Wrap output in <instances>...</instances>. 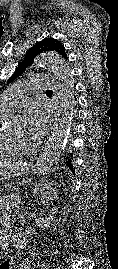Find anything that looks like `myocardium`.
<instances>
[{"label":"myocardium","instance_id":"myocardium-1","mask_svg":"<svg viewBox=\"0 0 118 269\" xmlns=\"http://www.w3.org/2000/svg\"><path fill=\"white\" fill-rule=\"evenodd\" d=\"M16 139L19 141V143H22V139L20 135H15ZM26 148V147H23Z\"/></svg>","mask_w":118,"mask_h":269}]
</instances>
